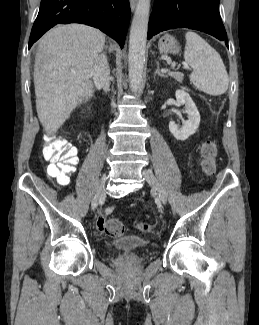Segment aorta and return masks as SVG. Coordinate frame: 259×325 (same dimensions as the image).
<instances>
[{"instance_id":"aorta-1","label":"aorta","mask_w":259,"mask_h":325,"mask_svg":"<svg viewBox=\"0 0 259 325\" xmlns=\"http://www.w3.org/2000/svg\"><path fill=\"white\" fill-rule=\"evenodd\" d=\"M149 12L150 0H138L130 30L128 55L130 88L134 93L142 82Z\"/></svg>"}]
</instances>
